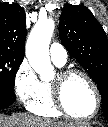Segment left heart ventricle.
Instances as JSON below:
<instances>
[{
    "label": "left heart ventricle",
    "mask_w": 108,
    "mask_h": 127,
    "mask_svg": "<svg viewBox=\"0 0 108 127\" xmlns=\"http://www.w3.org/2000/svg\"><path fill=\"white\" fill-rule=\"evenodd\" d=\"M64 101L75 115L88 116L95 108V95L89 83L79 75L69 78L64 87Z\"/></svg>",
    "instance_id": "obj_1"
}]
</instances>
